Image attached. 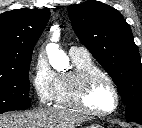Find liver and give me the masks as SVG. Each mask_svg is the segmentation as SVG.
<instances>
[{"label":"liver","instance_id":"1","mask_svg":"<svg viewBox=\"0 0 142 128\" xmlns=\"http://www.w3.org/2000/svg\"><path fill=\"white\" fill-rule=\"evenodd\" d=\"M86 117L67 109L42 108L0 115V128H75Z\"/></svg>","mask_w":142,"mask_h":128}]
</instances>
